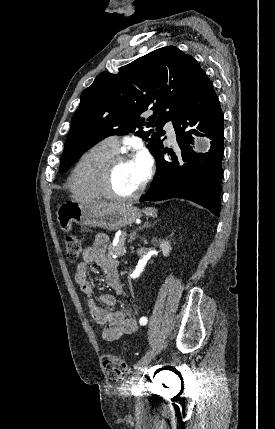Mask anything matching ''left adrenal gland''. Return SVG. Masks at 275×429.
<instances>
[{
  "label": "left adrenal gland",
  "mask_w": 275,
  "mask_h": 429,
  "mask_svg": "<svg viewBox=\"0 0 275 429\" xmlns=\"http://www.w3.org/2000/svg\"><path fill=\"white\" fill-rule=\"evenodd\" d=\"M151 226V223H149V221L147 220L142 226H140L138 229H136V230H134L131 234H130V237H129V243H132L134 240H135V238H136V234H137V231H139V230H142L143 228H146V227H150Z\"/></svg>",
  "instance_id": "left-adrenal-gland-1"
}]
</instances>
